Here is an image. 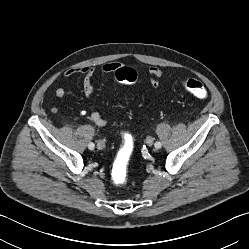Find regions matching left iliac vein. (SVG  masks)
<instances>
[{
	"label": "left iliac vein",
	"instance_id": "4c4485c4",
	"mask_svg": "<svg viewBox=\"0 0 249 249\" xmlns=\"http://www.w3.org/2000/svg\"><path fill=\"white\" fill-rule=\"evenodd\" d=\"M146 143H147L148 146H152V144H153V138L151 136H148L146 138Z\"/></svg>",
	"mask_w": 249,
	"mask_h": 249
}]
</instances>
